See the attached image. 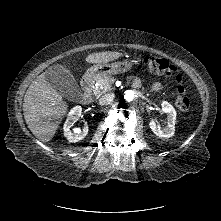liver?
Returning a JSON list of instances; mask_svg holds the SVG:
<instances>
[{"label":"liver","mask_w":221,"mask_h":221,"mask_svg":"<svg viewBox=\"0 0 221 221\" xmlns=\"http://www.w3.org/2000/svg\"><path fill=\"white\" fill-rule=\"evenodd\" d=\"M121 56L119 52L89 54L86 62L103 64ZM45 73L37 76L24 96L23 111L30 131L42 142L50 141L64 118L67 104L62 96L46 81Z\"/></svg>","instance_id":"1"}]
</instances>
